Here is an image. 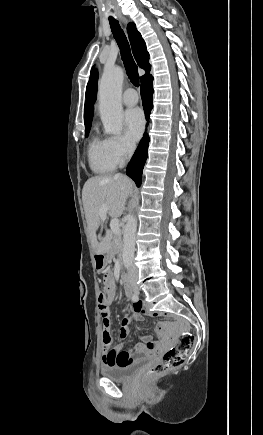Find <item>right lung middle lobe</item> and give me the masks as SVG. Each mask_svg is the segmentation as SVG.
Here are the masks:
<instances>
[{
	"instance_id": "dd1d6c3e",
	"label": "right lung middle lobe",
	"mask_w": 263,
	"mask_h": 435,
	"mask_svg": "<svg viewBox=\"0 0 263 435\" xmlns=\"http://www.w3.org/2000/svg\"><path fill=\"white\" fill-rule=\"evenodd\" d=\"M89 133V130L85 131V136L87 137Z\"/></svg>"
}]
</instances>
